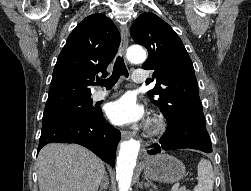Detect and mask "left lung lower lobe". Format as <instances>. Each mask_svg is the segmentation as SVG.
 <instances>
[{
	"label": "left lung lower lobe",
	"instance_id": "1",
	"mask_svg": "<svg viewBox=\"0 0 251 191\" xmlns=\"http://www.w3.org/2000/svg\"><path fill=\"white\" fill-rule=\"evenodd\" d=\"M161 146L154 144L155 149L150 155L160 153L161 150L191 148L206 153L212 152V144L206 129L205 119L199 116H186L175 124L167 127L160 139Z\"/></svg>",
	"mask_w": 251,
	"mask_h": 191
}]
</instances>
